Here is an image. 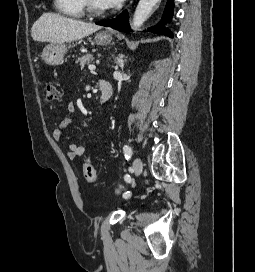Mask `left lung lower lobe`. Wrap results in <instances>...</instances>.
I'll return each mask as SVG.
<instances>
[{"label":"left lung lower lobe","instance_id":"left-lung-lower-lobe-1","mask_svg":"<svg viewBox=\"0 0 255 272\" xmlns=\"http://www.w3.org/2000/svg\"><path fill=\"white\" fill-rule=\"evenodd\" d=\"M173 0H167V4L164 10V14L162 17V22L157 24L155 27L149 28V31L155 34H163L166 36H169L173 38L172 32L163 26V22H169L170 19L172 18L173 15ZM96 24L98 25H103V26H110L113 29L122 31V32H131L130 26H129V21H128V14L127 11H124L121 13L118 17L112 20H107V21H102V22H97Z\"/></svg>","mask_w":255,"mask_h":272}]
</instances>
